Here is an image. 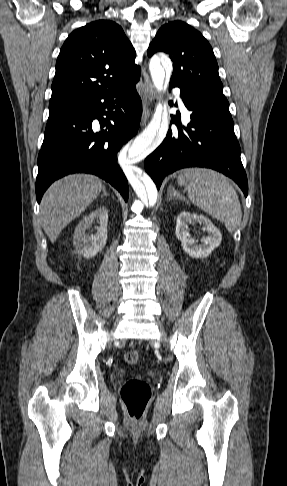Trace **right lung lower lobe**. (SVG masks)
<instances>
[{
    "label": "right lung lower lobe",
    "instance_id": "obj_1",
    "mask_svg": "<svg viewBox=\"0 0 287 486\" xmlns=\"http://www.w3.org/2000/svg\"><path fill=\"white\" fill-rule=\"evenodd\" d=\"M137 81L48 118L38 155V203L52 182L79 172L101 177L128 200L127 179L116 156L139 127L142 103L135 89ZM95 119L100 131L92 124Z\"/></svg>",
    "mask_w": 287,
    "mask_h": 486
}]
</instances>
